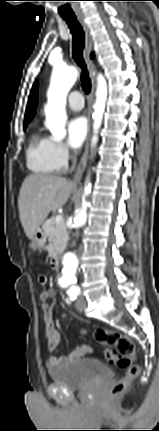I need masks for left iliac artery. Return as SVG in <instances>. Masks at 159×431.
<instances>
[{
	"instance_id": "1",
	"label": "left iliac artery",
	"mask_w": 159,
	"mask_h": 431,
	"mask_svg": "<svg viewBox=\"0 0 159 431\" xmlns=\"http://www.w3.org/2000/svg\"><path fill=\"white\" fill-rule=\"evenodd\" d=\"M78 293L79 289L77 288L73 291L72 296H70V300H74L77 297Z\"/></svg>"
}]
</instances>
